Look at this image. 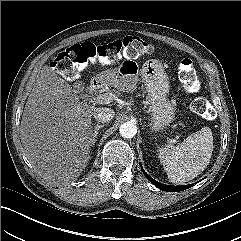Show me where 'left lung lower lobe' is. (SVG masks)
I'll return each instance as SVG.
<instances>
[{
  "instance_id": "0a47b994",
  "label": "left lung lower lobe",
  "mask_w": 241,
  "mask_h": 241,
  "mask_svg": "<svg viewBox=\"0 0 241 241\" xmlns=\"http://www.w3.org/2000/svg\"><path fill=\"white\" fill-rule=\"evenodd\" d=\"M144 175L147 177L148 180H150L155 186H157L159 189L164 190V191H168V192H177V191H183L186 190L190 187L193 186V184H189V185H184V186H168V185H163L157 181H155L154 179H152L149 175H147L146 172H144V170L142 169Z\"/></svg>"
}]
</instances>
